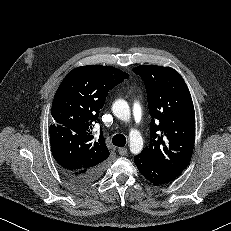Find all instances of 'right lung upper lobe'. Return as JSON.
<instances>
[{"label": "right lung upper lobe", "mask_w": 231, "mask_h": 231, "mask_svg": "<svg viewBox=\"0 0 231 231\" xmlns=\"http://www.w3.org/2000/svg\"><path fill=\"white\" fill-rule=\"evenodd\" d=\"M128 74L112 66L88 65L70 71L52 103L49 128L54 159L67 171L91 170L109 156L103 133L92 135L109 90Z\"/></svg>", "instance_id": "obj_1"}]
</instances>
